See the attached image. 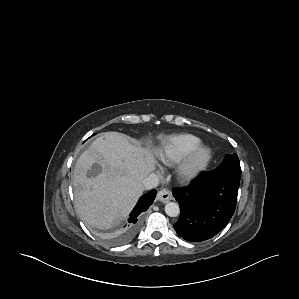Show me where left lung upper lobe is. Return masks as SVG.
<instances>
[{"label":"left lung upper lobe","instance_id":"obj_1","mask_svg":"<svg viewBox=\"0 0 299 299\" xmlns=\"http://www.w3.org/2000/svg\"><path fill=\"white\" fill-rule=\"evenodd\" d=\"M212 172L240 179L241 167L237 154L226 155L223 162Z\"/></svg>","mask_w":299,"mask_h":299}]
</instances>
